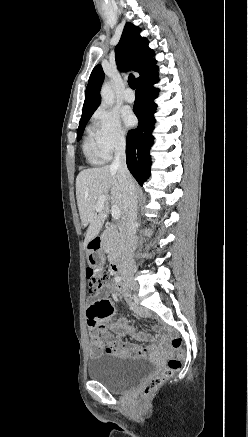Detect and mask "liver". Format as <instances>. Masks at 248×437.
Listing matches in <instances>:
<instances>
[{
	"label": "liver",
	"mask_w": 248,
	"mask_h": 437,
	"mask_svg": "<svg viewBox=\"0 0 248 437\" xmlns=\"http://www.w3.org/2000/svg\"><path fill=\"white\" fill-rule=\"evenodd\" d=\"M100 196H106L101 212L94 207ZM76 199L81 222L88 226L84 244L99 234L109 213V202L116 205L124 216V192L118 181L117 171L110 166L82 170L76 178Z\"/></svg>",
	"instance_id": "liver-1"
}]
</instances>
